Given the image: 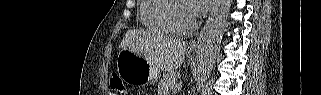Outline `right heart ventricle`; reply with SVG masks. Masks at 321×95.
Instances as JSON below:
<instances>
[{
    "label": "right heart ventricle",
    "instance_id": "e07e8e85",
    "mask_svg": "<svg viewBox=\"0 0 321 95\" xmlns=\"http://www.w3.org/2000/svg\"><path fill=\"white\" fill-rule=\"evenodd\" d=\"M170 0H143L140 5V19L144 27L155 34L167 35L172 30L164 21V10Z\"/></svg>",
    "mask_w": 321,
    "mask_h": 95
}]
</instances>
